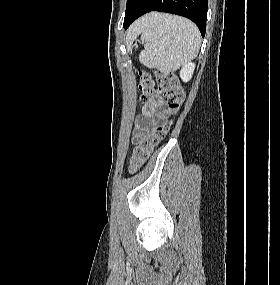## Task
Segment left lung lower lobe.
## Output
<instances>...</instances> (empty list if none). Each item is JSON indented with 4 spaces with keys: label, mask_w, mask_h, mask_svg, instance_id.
Segmentation results:
<instances>
[{
    "label": "left lung lower lobe",
    "mask_w": 280,
    "mask_h": 285,
    "mask_svg": "<svg viewBox=\"0 0 280 285\" xmlns=\"http://www.w3.org/2000/svg\"><path fill=\"white\" fill-rule=\"evenodd\" d=\"M207 0H137L129 15L124 19L125 29L141 15L160 11L181 15L197 24L202 37L206 31Z\"/></svg>",
    "instance_id": "left-lung-lower-lobe-1"
}]
</instances>
